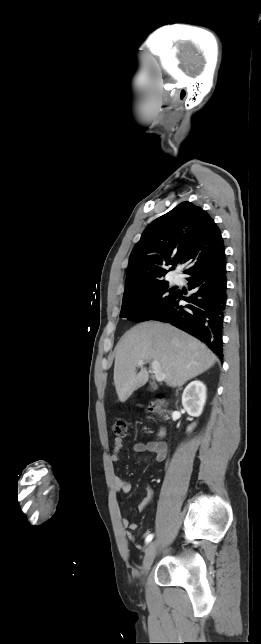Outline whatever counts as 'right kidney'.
Listing matches in <instances>:
<instances>
[{
  "label": "right kidney",
  "mask_w": 261,
  "mask_h": 644,
  "mask_svg": "<svg viewBox=\"0 0 261 644\" xmlns=\"http://www.w3.org/2000/svg\"><path fill=\"white\" fill-rule=\"evenodd\" d=\"M206 402V386L201 381L189 383L182 394V405L190 416L198 417L203 411ZM195 424L187 428L191 432Z\"/></svg>",
  "instance_id": "right-kidney-1"
}]
</instances>
